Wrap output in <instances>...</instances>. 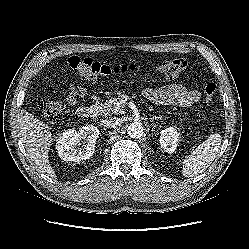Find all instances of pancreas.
Wrapping results in <instances>:
<instances>
[{
    "label": "pancreas",
    "instance_id": "obj_1",
    "mask_svg": "<svg viewBox=\"0 0 249 249\" xmlns=\"http://www.w3.org/2000/svg\"><path fill=\"white\" fill-rule=\"evenodd\" d=\"M101 114L107 115H118L122 113L120 99L119 98H109L104 101L100 106H97Z\"/></svg>",
    "mask_w": 249,
    "mask_h": 249
}]
</instances>
